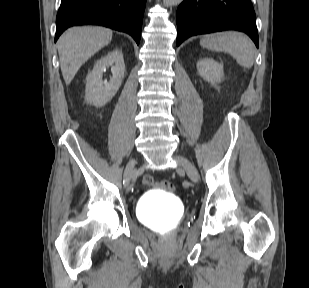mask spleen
<instances>
[{"label":"spleen","mask_w":309,"mask_h":288,"mask_svg":"<svg viewBox=\"0 0 309 288\" xmlns=\"http://www.w3.org/2000/svg\"><path fill=\"white\" fill-rule=\"evenodd\" d=\"M200 45L213 51L229 53L243 68H251L254 63V44L245 34L225 31L204 35Z\"/></svg>","instance_id":"3e777b00"}]
</instances>
